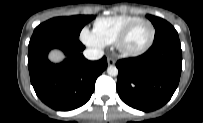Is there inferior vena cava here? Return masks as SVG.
I'll return each instance as SVG.
<instances>
[{
    "mask_svg": "<svg viewBox=\"0 0 203 123\" xmlns=\"http://www.w3.org/2000/svg\"><path fill=\"white\" fill-rule=\"evenodd\" d=\"M83 55L88 60H98L103 57L104 51L101 49L88 48L84 50Z\"/></svg>",
    "mask_w": 203,
    "mask_h": 123,
    "instance_id": "1",
    "label": "inferior vena cava"
}]
</instances>
